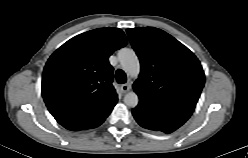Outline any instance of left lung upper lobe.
<instances>
[{
  "instance_id": "obj_1",
  "label": "left lung upper lobe",
  "mask_w": 248,
  "mask_h": 158,
  "mask_svg": "<svg viewBox=\"0 0 248 158\" xmlns=\"http://www.w3.org/2000/svg\"><path fill=\"white\" fill-rule=\"evenodd\" d=\"M141 63L133 88L140 102L134 110L171 133L193 113L205 83L197 57L166 32L154 27L127 29Z\"/></svg>"
}]
</instances>
